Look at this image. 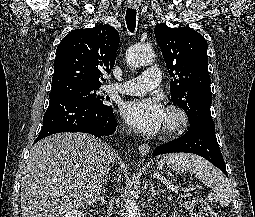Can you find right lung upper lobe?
<instances>
[{"mask_svg":"<svg viewBox=\"0 0 255 217\" xmlns=\"http://www.w3.org/2000/svg\"><path fill=\"white\" fill-rule=\"evenodd\" d=\"M119 41L117 30L110 25L71 31L56 49L52 87H100L104 81L102 73H109L115 64Z\"/></svg>","mask_w":255,"mask_h":217,"instance_id":"obj_1","label":"right lung upper lobe"}]
</instances>
